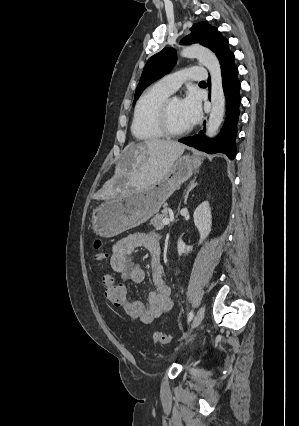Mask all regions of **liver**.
<instances>
[{
	"mask_svg": "<svg viewBox=\"0 0 299 426\" xmlns=\"http://www.w3.org/2000/svg\"><path fill=\"white\" fill-rule=\"evenodd\" d=\"M185 145L161 139L130 143L119 161L115 177H127V184L136 189L146 188L164 178Z\"/></svg>",
	"mask_w": 299,
	"mask_h": 426,
	"instance_id": "6515ba94",
	"label": "liver"
}]
</instances>
